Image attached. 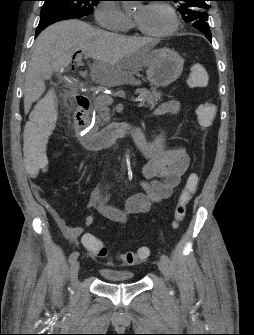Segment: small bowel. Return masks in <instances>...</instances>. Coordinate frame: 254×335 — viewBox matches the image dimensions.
Here are the masks:
<instances>
[{"label":"small bowel","mask_w":254,"mask_h":335,"mask_svg":"<svg viewBox=\"0 0 254 335\" xmlns=\"http://www.w3.org/2000/svg\"><path fill=\"white\" fill-rule=\"evenodd\" d=\"M179 110V102L169 100L162 103L156 109L155 114H177ZM134 143L146 159V163L142 168L141 183L146 188L147 193L137 194L128 198L124 210L118 209L111 204H106L102 191L99 189L92 191L88 201L90 208L96 209L106 219L119 224L126 222L128 214L146 213L150 210L153 203L169 199L179 186L181 178L188 170L190 164V157L184 148L170 146L167 135H161L153 141L143 138L142 140L134 141ZM60 153L61 151L56 149L52 154V158L59 157ZM51 213L64 235L72 243H77L81 236L82 240L85 237L93 236L89 233L83 234L85 228L93 224L94 218L92 216H85L80 225L71 226L56 211L53 210ZM89 252L96 256L90 250Z\"/></svg>","instance_id":"1"}]
</instances>
